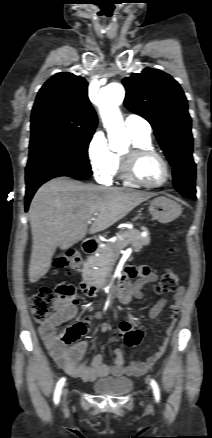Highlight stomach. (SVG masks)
Here are the masks:
<instances>
[{"label": "stomach", "instance_id": "1", "mask_svg": "<svg viewBox=\"0 0 212 438\" xmlns=\"http://www.w3.org/2000/svg\"><path fill=\"white\" fill-rule=\"evenodd\" d=\"M149 212L154 220L166 224L174 221L181 215V206L164 196L155 198L149 206Z\"/></svg>", "mask_w": 212, "mask_h": 438}]
</instances>
